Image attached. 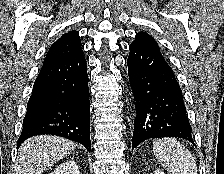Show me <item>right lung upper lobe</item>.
Wrapping results in <instances>:
<instances>
[{"label":"right lung upper lobe","instance_id":"right-lung-upper-lobe-1","mask_svg":"<svg viewBox=\"0 0 224 174\" xmlns=\"http://www.w3.org/2000/svg\"><path fill=\"white\" fill-rule=\"evenodd\" d=\"M82 53L79 35L76 31L63 34L52 44L43 64L63 60Z\"/></svg>","mask_w":224,"mask_h":174}]
</instances>
